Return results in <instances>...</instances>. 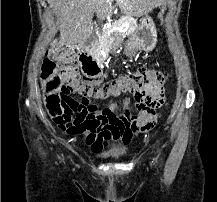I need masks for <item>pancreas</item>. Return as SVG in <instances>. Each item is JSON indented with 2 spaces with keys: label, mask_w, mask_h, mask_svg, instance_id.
I'll return each mask as SVG.
<instances>
[{
  "label": "pancreas",
  "mask_w": 217,
  "mask_h": 202,
  "mask_svg": "<svg viewBox=\"0 0 217 202\" xmlns=\"http://www.w3.org/2000/svg\"><path fill=\"white\" fill-rule=\"evenodd\" d=\"M126 21L131 20V17H125ZM119 22H116V25H113L112 27H109V30H112V28H118ZM138 26L136 22H130L128 32L126 34H134L135 30H137ZM124 34H121V32H112V34H109V32H104L102 36V40L104 42L103 44V50L104 52H111V50H116V48H119L123 42Z\"/></svg>",
  "instance_id": "1"
}]
</instances>
